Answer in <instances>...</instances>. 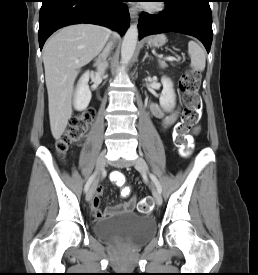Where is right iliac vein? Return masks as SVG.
Masks as SVG:
<instances>
[{"label": "right iliac vein", "instance_id": "63e3f726", "mask_svg": "<svg viewBox=\"0 0 258 275\" xmlns=\"http://www.w3.org/2000/svg\"><path fill=\"white\" fill-rule=\"evenodd\" d=\"M105 161H106V153L102 152L96 161V172L100 173L101 170L104 168L105 165ZM96 185V180L92 183L91 187L89 188L87 194H86V201H90L94 192V188Z\"/></svg>", "mask_w": 258, "mask_h": 275}]
</instances>
